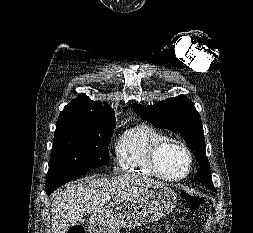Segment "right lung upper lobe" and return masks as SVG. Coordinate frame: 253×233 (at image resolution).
Segmentation results:
<instances>
[{"instance_id":"obj_1","label":"right lung upper lobe","mask_w":253,"mask_h":233,"mask_svg":"<svg viewBox=\"0 0 253 233\" xmlns=\"http://www.w3.org/2000/svg\"><path fill=\"white\" fill-rule=\"evenodd\" d=\"M104 105V106H103ZM92 101L85 94H79L71 103L65 106L61 114H76V115H87L97 116L103 118H115L112 108L106 102ZM126 108H124V111Z\"/></svg>"}]
</instances>
